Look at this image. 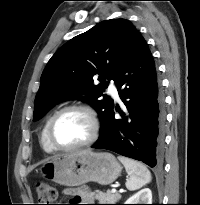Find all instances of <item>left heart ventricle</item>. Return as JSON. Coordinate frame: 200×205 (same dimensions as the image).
<instances>
[{
    "label": "left heart ventricle",
    "mask_w": 200,
    "mask_h": 205,
    "mask_svg": "<svg viewBox=\"0 0 200 205\" xmlns=\"http://www.w3.org/2000/svg\"><path fill=\"white\" fill-rule=\"evenodd\" d=\"M90 133V123L81 111L62 114L53 126V138L61 146H71L85 140Z\"/></svg>",
    "instance_id": "obj_1"
}]
</instances>
